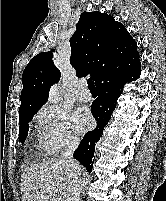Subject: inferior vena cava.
I'll return each mask as SVG.
<instances>
[{
    "label": "inferior vena cava",
    "instance_id": "inferior-vena-cava-1",
    "mask_svg": "<svg viewBox=\"0 0 166 201\" xmlns=\"http://www.w3.org/2000/svg\"><path fill=\"white\" fill-rule=\"evenodd\" d=\"M79 145L78 138H70L61 156L63 162H67L72 169L73 185L68 201H80L81 179L78 163L74 160L73 154Z\"/></svg>",
    "mask_w": 166,
    "mask_h": 201
}]
</instances>
